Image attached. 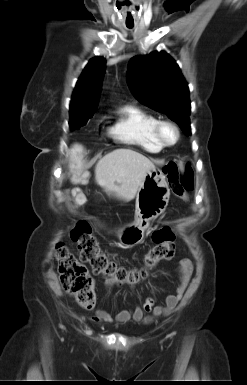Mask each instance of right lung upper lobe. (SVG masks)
<instances>
[{"instance_id":"cb5924a9","label":"right lung upper lobe","mask_w":247,"mask_h":385,"mask_svg":"<svg viewBox=\"0 0 247 385\" xmlns=\"http://www.w3.org/2000/svg\"><path fill=\"white\" fill-rule=\"evenodd\" d=\"M105 58H92L77 81L70 103V112L96 110L104 75Z\"/></svg>"}]
</instances>
